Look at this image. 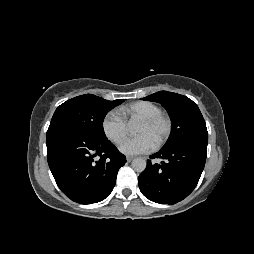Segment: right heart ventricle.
I'll return each mask as SVG.
<instances>
[{
	"label": "right heart ventricle",
	"instance_id": "obj_1",
	"mask_svg": "<svg viewBox=\"0 0 254 254\" xmlns=\"http://www.w3.org/2000/svg\"><path fill=\"white\" fill-rule=\"evenodd\" d=\"M119 113L125 120H142L161 114V108L150 101H136L122 107Z\"/></svg>",
	"mask_w": 254,
	"mask_h": 254
}]
</instances>
